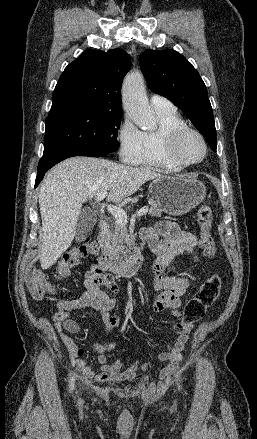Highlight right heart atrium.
<instances>
[{"label":"right heart atrium","mask_w":257,"mask_h":439,"mask_svg":"<svg viewBox=\"0 0 257 439\" xmlns=\"http://www.w3.org/2000/svg\"><path fill=\"white\" fill-rule=\"evenodd\" d=\"M118 151L121 160L133 163L142 151V132L125 116L117 133Z\"/></svg>","instance_id":"1"}]
</instances>
